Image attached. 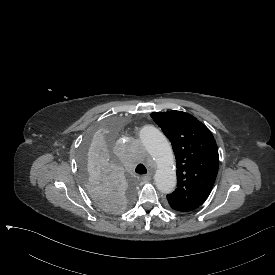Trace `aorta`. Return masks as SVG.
Segmentation results:
<instances>
[{"label": "aorta", "mask_w": 275, "mask_h": 275, "mask_svg": "<svg viewBox=\"0 0 275 275\" xmlns=\"http://www.w3.org/2000/svg\"><path fill=\"white\" fill-rule=\"evenodd\" d=\"M139 138L143 143L149 144V157L160 161L154 176L157 190L162 194L173 193L176 187V171L172 150L165 135L154 125L147 124L139 130Z\"/></svg>", "instance_id": "1"}]
</instances>
